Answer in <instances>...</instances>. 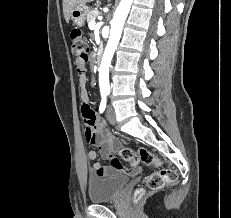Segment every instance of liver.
Segmentation results:
<instances>
[{
	"mask_svg": "<svg viewBox=\"0 0 231 218\" xmlns=\"http://www.w3.org/2000/svg\"><path fill=\"white\" fill-rule=\"evenodd\" d=\"M93 1L94 0H63V13L66 22H69L71 11L76 5H85L86 3Z\"/></svg>",
	"mask_w": 231,
	"mask_h": 218,
	"instance_id": "obj_1",
	"label": "liver"
}]
</instances>
